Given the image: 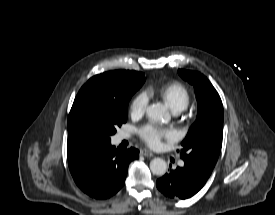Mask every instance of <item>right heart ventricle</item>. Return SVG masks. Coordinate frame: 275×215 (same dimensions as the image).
I'll return each instance as SVG.
<instances>
[{"label": "right heart ventricle", "mask_w": 275, "mask_h": 215, "mask_svg": "<svg viewBox=\"0 0 275 215\" xmlns=\"http://www.w3.org/2000/svg\"><path fill=\"white\" fill-rule=\"evenodd\" d=\"M150 93L161 98L174 112L184 110L190 102V94L186 87L179 82H169L155 86Z\"/></svg>", "instance_id": "e07e8e85"}]
</instances>
